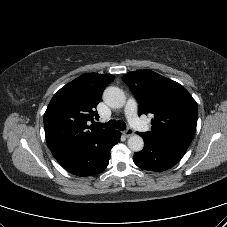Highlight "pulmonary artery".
<instances>
[{
    "instance_id": "pulmonary-artery-1",
    "label": "pulmonary artery",
    "mask_w": 227,
    "mask_h": 227,
    "mask_svg": "<svg viewBox=\"0 0 227 227\" xmlns=\"http://www.w3.org/2000/svg\"><path fill=\"white\" fill-rule=\"evenodd\" d=\"M126 117L132 127L139 131H146L147 125L137 116V104L134 99H129L125 106Z\"/></svg>"
}]
</instances>
